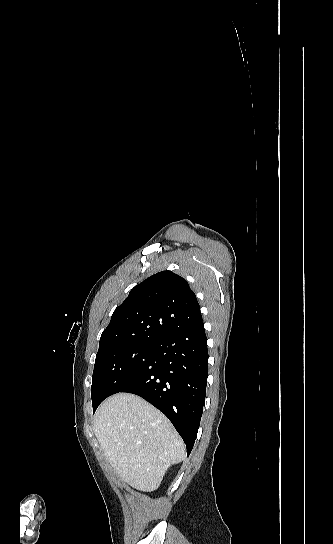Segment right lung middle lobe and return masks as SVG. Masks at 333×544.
Segmentation results:
<instances>
[{
	"instance_id": "obj_1",
	"label": "right lung middle lobe",
	"mask_w": 333,
	"mask_h": 544,
	"mask_svg": "<svg viewBox=\"0 0 333 544\" xmlns=\"http://www.w3.org/2000/svg\"><path fill=\"white\" fill-rule=\"evenodd\" d=\"M156 342H137L118 346L96 355L91 398L93 411L108 396L128 385L148 362Z\"/></svg>"
}]
</instances>
